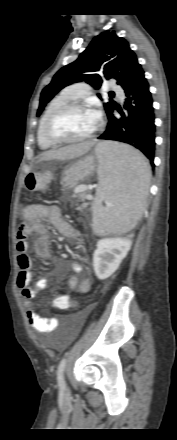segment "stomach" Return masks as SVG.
<instances>
[{
	"label": "stomach",
	"mask_w": 177,
	"mask_h": 440,
	"mask_svg": "<svg viewBox=\"0 0 177 440\" xmlns=\"http://www.w3.org/2000/svg\"><path fill=\"white\" fill-rule=\"evenodd\" d=\"M99 164L94 155H86L75 163L66 166L62 172L61 185L64 189H72L79 183L90 178Z\"/></svg>",
	"instance_id": "stomach-1"
}]
</instances>
